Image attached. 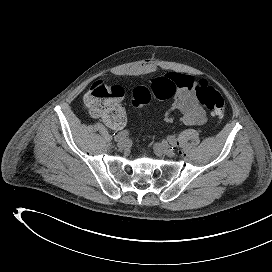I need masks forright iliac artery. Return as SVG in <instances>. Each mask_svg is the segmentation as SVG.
Masks as SVG:
<instances>
[{"mask_svg": "<svg viewBox=\"0 0 272 272\" xmlns=\"http://www.w3.org/2000/svg\"><path fill=\"white\" fill-rule=\"evenodd\" d=\"M128 134H129V131H128V130H123V131L119 132V133L116 134V136H115V141H118V140H120V139H122V138H125L126 136H128Z\"/></svg>", "mask_w": 272, "mask_h": 272, "instance_id": "obj_1", "label": "right iliac artery"}]
</instances>
